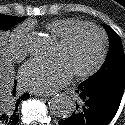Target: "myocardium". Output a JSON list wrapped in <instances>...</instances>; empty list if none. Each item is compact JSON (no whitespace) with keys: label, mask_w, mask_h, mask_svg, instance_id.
I'll return each instance as SVG.
<instances>
[{"label":"myocardium","mask_w":125,"mask_h":125,"mask_svg":"<svg viewBox=\"0 0 125 125\" xmlns=\"http://www.w3.org/2000/svg\"><path fill=\"white\" fill-rule=\"evenodd\" d=\"M91 29L97 32L101 39V46H100V52L97 57V60L95 63L90 66L89 68L83 70V71H77L74 72L73 75L76 78H87L91 75L95 74L97 71L100 70V68L103 66L105 59L107 57L108 53V36L104 29H102L100 26L91 23V22H82L78 25L73 26L70 28L61 38L58 39V44L61 47H66L75 37V35L82 29Z\"/></svg>","instance_id":"f54148a6"}]
</instances>
